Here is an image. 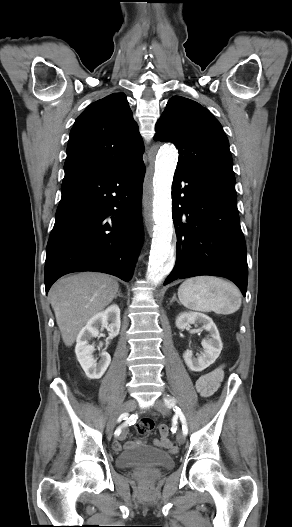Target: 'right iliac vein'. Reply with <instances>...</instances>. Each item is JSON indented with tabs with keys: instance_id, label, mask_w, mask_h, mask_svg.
<instances>
[{
	"instance_id": "63e3f726",
	"label": "right iliac vein",
	"mask_w": 292,
	"mask_h": 527,
	"mask_svg": "<svg viewBox=\"0 0 292 527\" xmlns=\"http://www.w3.org/2000/svg\"><path fill=\"white\" fill-rule=\"evenodd\" d=\"M136 406H137L136 401L131 399V400L126 401L124 404H122L119 407V409L114 413V415L110 418V420H109V422L107 424L106 432H107L108 436H111V434H112V432L114 430V427H115L118 415L123 413V412L132 411V410H134L136 408Z\"/></svg>"
}]
</instances>
